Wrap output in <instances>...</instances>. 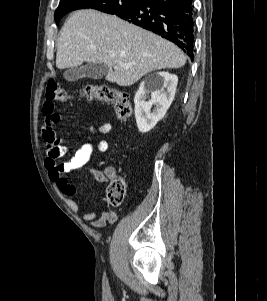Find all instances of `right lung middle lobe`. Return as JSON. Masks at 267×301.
<instances>
[{
    "mask_svg": "<svg viewBox=\"0 0 267 301\" xmlns=\"http://www.w3.org/2000/svg\"><path fill=\"white\" fill-rule=\"evenodd\" d=\"M138 2L139 0H60L54 18L58 23L67 12L83 8L97 9L117 15L130 10Z\"/></svg>",
    "mask_w": 267,
    "mask_h": 301,
    "instance_id": "obj_1",
    "label": "right lung middle lobe"
}]
</instances>
